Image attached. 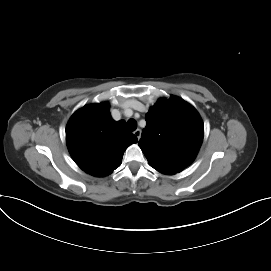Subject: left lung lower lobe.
<instances>
[{
  "label": "left lung lower lobe",
  "instance_id": "0a47b994",
  "mask_svg": "<svg viewBox=\"0 0 271 271\" xmlns=\"http://www.w3.org/2000/svg\"><path fill=\"white\" fill-rule=\"evenodd\" d=\"M157 171H159V172H161V173H163V174H172V173H169V172H166V171H162V170H157Z\"/></svg>",
  "mask_w": 271,
  "mask_h": 271
}]
</instances>
